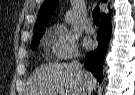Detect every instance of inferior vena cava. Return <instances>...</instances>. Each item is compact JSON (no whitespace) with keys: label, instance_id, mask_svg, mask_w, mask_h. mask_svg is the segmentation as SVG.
I'll use <instances>...</instances> for the list:
<instances>
[{"label":"inferior vena cava","instance_id":"1","mask_svg":"<svg viewBox=\"0 0 135 95\" xmlns=\"http://www.w3.org/2000/svg\"><path fill=\"white\" fill-rule=\"evenodd\" d=\"M70 65L76 72H78L83 77V80L86 83L87 87H86V91L83 95H91L92 86L88 81V75L83 70L81 63L78 60H73Z\"/></svg>","mask_w":135,"mask_h":95}]
</instances>
